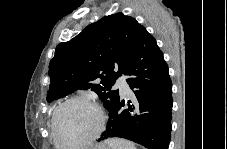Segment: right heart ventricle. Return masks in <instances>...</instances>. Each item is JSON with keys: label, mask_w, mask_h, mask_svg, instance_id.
<instances>
[{"label": "right heart ventricle", "mask_w": 227, "mask_h": 149, "mask_svg": "<svg viewBox=\"0 0 227 149\" xmlns=\"http://www.w3.org/2000/svg\"><path fill=\"white\" fill-rule=\"evenodd\" d=\"M51 130H52V127H51ZM52 138H53V134H52ZM53 144H54V146H57L56 143H55V141H54V138H53Z\"/></svg>", "instance_id": "right-heart-ventricle-1"}]
</instances>
